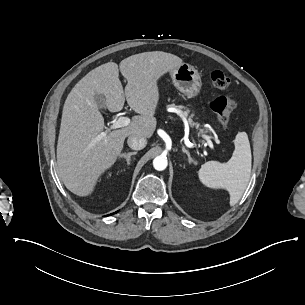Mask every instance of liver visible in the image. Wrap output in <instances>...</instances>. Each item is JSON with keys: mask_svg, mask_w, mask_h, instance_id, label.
I'll return each mask as SVG.
<instances>
[{"mask_svg": "<svg viewBox=\"0 0 305 305\" xmlns=\"http://www.w3.org/2000/svg\"><path fill=\"white\" fill-rule=\"evenodd\" d=\"M183 61L162 51L143 52L123 59L119 69L127 79L125 91L118 65L102 64L87 73L68 94L64 104L57 144V174L68 190L78 196L93 192L98 177L121 154L125 138H150L156 129L155 109L159 100L157 80ZM95 94L106 98L110 112L123 109L125 99L139 116L127 127L109 132L101 140L104 118Z\"/></svg>", "mask_w": 305, "mask_h": 305, "instance_id": "obj_1", "label": "liver"}]
</instances>
